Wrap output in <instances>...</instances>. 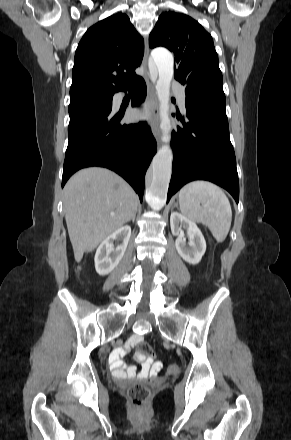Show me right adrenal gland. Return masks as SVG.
<instances>
[{
    "mask_svg": "<svg viewBox=\"0 0 291 440\" xmlns=\"http://www.w3.org/2000/svg\"><path fill=\"white\" fill-rule=\"evenodd\" d=\"M135 217H136V216H133V218H132V222H133V223H134V221H135Z\"/></svg>",
    "mask_w": 291,
    "mask_h": 440,
    "instance_id": "2a0ac1e0",
    "label": "right adrenal gland"
}]
</instances>
